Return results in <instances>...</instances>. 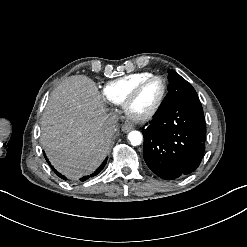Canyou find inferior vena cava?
Masks as SVG:
<instances>
[{
  "mask_svg": "<svg viewBox=\"0 0 247 247\" xmlns=\"http://www.w3.org/2000/svg\"><path fill=\"white\" fill-rule=\"evenodd\" d=\"M118 120H119L118 115H116L115 113H109L106 116V122L113 132L117 130Z\"/></svg>",
  "mask_w": 247,
  "mask_h": 247,
  "instance_id": "1",
  "label": "inferior vena cava"
}]
</instances>
